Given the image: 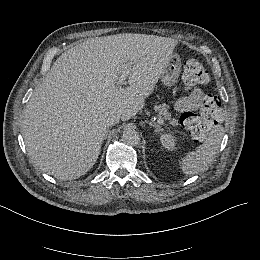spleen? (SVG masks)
Listing matches in <instances>:
<instances>
[{"instance_id":"obj_1","label":"spleen","mask_w":260,"mask_h":260,"mask_svg":"<svg viewBox=\"0 0 260 260\" xmlns=\"http://www.w3.org/2000/svg\"><path fill=\"white\" fill-rule=\"evenodd\" d=\"M224 134V127L221 124L213 125L203 143L179 156L176 160L179 170L186 176L207 170L215 158Z\"/></svg>"}]
</instances>
